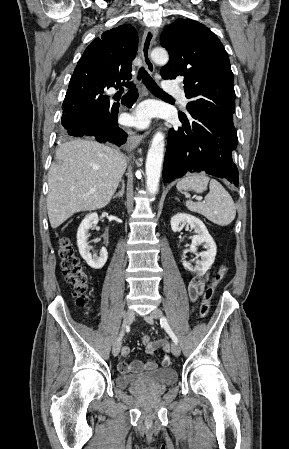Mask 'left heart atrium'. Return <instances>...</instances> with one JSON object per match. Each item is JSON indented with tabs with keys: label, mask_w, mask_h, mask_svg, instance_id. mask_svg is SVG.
Returning a JSON list of instances; mask_svg holds the SVG:
<instances>
[{
	"label": "left heart atrium",
	"mask_w": 289,
	"mask_h": 449,
	"mask_svg": "<svg viewBox=\"0 0 289 449\" xmlns=\"http://www.w3.org/2000/svg\"><path fill=\"white\" fill-rule=\"evenodd\" d=\"M151 118V109L147 105L138 107L131 115H129L127 122L130 125L138 127H146Z\"/></svg>",
	"instance_id": "39dd6f15"
}]
</instances>
